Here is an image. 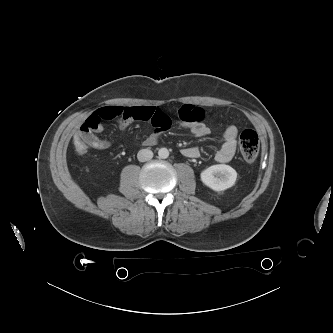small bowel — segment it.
I'll use <instances>...</instances> for the list:
<instances>
[{"label": "small bowel", "instance_id": "1", "mask_svg": "<svg viewBox=\"0 0 333 333\" xmlns=\"http://www.w3.org/2000/svg\"><path fill=\"white\" fill-rule=\"evenodd\" d=\"M180 125L188 129L195 137H204L210 130L203 121V109L185 104L178 110ZM115 121L119 128L124 129L134 120L149 121L153 130L145 140V145H154L160 136L166 132L172 124L171 117L158 107H122L109 106L93 112L80 126L76 137L83 138L91 148L104 150L110 147V142L100 138L97 133L103 129V122ZM238 129L231 125L227 127L222 135V145L215 154V160L219 163H227L232 160L237 151ZM182 154L188 158H197L199 149L197 147H185Z\"/></svg>", "mask_w": 333, "mask_h": 333}]
</instances>
